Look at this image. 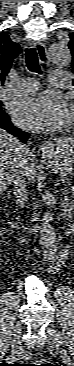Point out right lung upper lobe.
Returning a JSON list of instances; mask_svg holds the SVG:
<instances>
[{
	"label": "right lung upper lobe",
	"mask_w": 74,
	"mask_h": 366,
	"mask_svg": "<svg viewBox=\"0 0 74 366\" xmlns=\"http://www.w3.org/2000/svg\"><path fill=\"white\" fill-rule=\"evenodd\" d=\"M21 48L13 42L9 35L0 33V85L5 80L13 60L19 55Z\"/></svg>",
	"instance_id": "obj_1"
}]
</instances>
